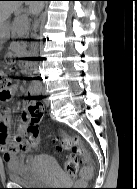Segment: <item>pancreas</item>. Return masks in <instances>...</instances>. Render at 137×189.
Instances as JSON below:
<instances>
[{"label": "pancreas", "mask_w": 137, "mask_h": 189, "mask_svg": "<svg viewBox=\"0 0 137 189\" xmlns=\"http://www.w3.org/2000/svg\"><path fill=\"white\" fill-rule=\"evenodd\" d=\"M29 30V23L25 18L17 17L12 25L13 35L17 37H25Z\"/></svg>", "instance_id": "pancreas-1"}]
</instances>
